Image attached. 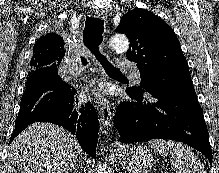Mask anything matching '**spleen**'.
Returning a JSON list of instances; mask_svg holds the SVG:
<instances>
[{
	"mask_svg": "<svg viewBox=\"0 0 219 173\" xmlns=\"http://www.w3.org/2000/svg\"><path fill=\"white\" fill-rule=\"evenodd\" d=\"M162 157L169 155L175 173H206L197 156L182 143L173 140L153 139L148 142Z\"/></svg>",
	"mask_w": 219,
	"mask_h": 173,
	"instance_id": "1",
	"label": "spleen"
}]
</instances>
